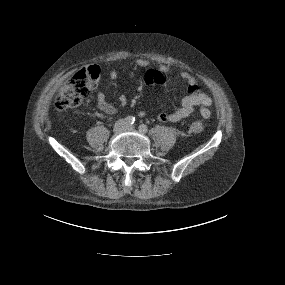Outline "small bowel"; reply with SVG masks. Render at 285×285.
Wrapping results in <instances>:
<instances>
[{
  "mask_svg": "<svg viewBox=\"0 0 285 285\" xmlns=\"http://www.w3.org/2000/svg\"><path fill=\"white\" fill-rule=\"evenodd\" d=\"M134 64L136 67H148L151 63L145 59H138ZM171 75L172 73L169 67L160 66L158 69L148 70L145 74L144 82L147 87L160 86L164 83L165 77H170ZM179 76L187 84L188 95L183 98L181 105L175 110L171 112H160L158 119L162 122H178L191 116L196 107L199 108L201 117L205 119L209 118L211 116V97L199 89L196 78L189 72L182 71ZM109 77L111 80H116L118 73L112 70L109 73ZM96 101L98 108L102 112L106 114H115L117 112V107L107 101L104 93L98 92ZM120 104H126V98L124 96L120 97Z\"/></svg>",
  "mask_w": 285,
  "mask_h": 285,
  "instance_id": "obj_1",
  "label": "small bowel"
}]
</instances>
